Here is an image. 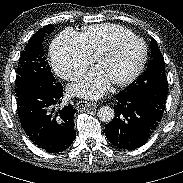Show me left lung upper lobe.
<instances>
[{
	"mask_svg": "<svg viewBox=\"0 0 183 183\" xmlns=\"http://www.w3.org/2000/svg\"><path fill=\"white\" fill-rule=\"evenodd\" d=\"M151 48V60L145 73L126 91L130 95L144 97L165 105L168 88L165 63L154 38L151 39Z\"/></svg>",
	"mask_w": 183,
	"mask_h": 183,
	"instance_id": "1",
	"label": "left lung upper lobe"
}]
</instances>
